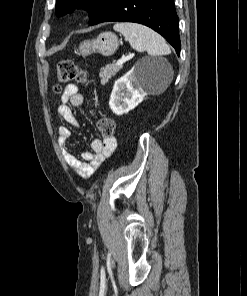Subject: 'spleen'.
Instances as JSON below:
<instances>
[{"instance_id": "3e777b00", "label": "spleen", "mask_w": 247, "mask_h": 296, "mask_svg": "<svg viewBox=\"0 0 247 296\" xmlns=\"http://www.w3.org/2000/svg\"><path fill=\"white\" fill-rule=\"evenodd\" d=\"M114 30L121 33L130 43L131 47L138 52L146 51L152 56H162L171 53L170 47L164 38L152 29L137 23H116ZM173 77L170 68L169 83Z\"/></svg>"}]
</instances>
